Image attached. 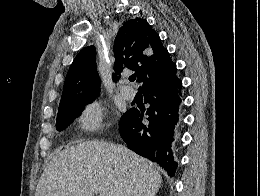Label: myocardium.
I'll use <instances>...</instances> for the list:
<instances>
[{"label": "myocardium", "mask_w": 260, "mask_h": 196, "mask_svg": "<svg viewBox=\"0 0 260 196\" xmlns=\"http://www.w3.org/2000/svg\"><path fill=\"white\" fill-rule=\"evenodd\" d=\"M51 192H54V190H51ZM91 192H97V190L91 191Z\"/></svg>", "instance_id": "f54148a6"}]
</instances>
